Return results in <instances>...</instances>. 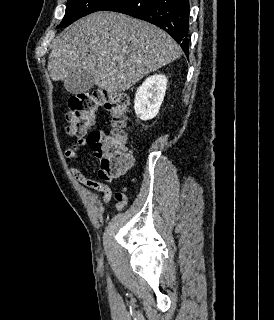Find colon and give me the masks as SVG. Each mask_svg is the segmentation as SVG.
<instances>
[{"instance_id":"colon-1","label":"colon","mask_w":274,"mask_h":320,"mask_svg":"<svg viewBox=\"0 0 274 320\" xmlns=\"http://www.w3.org/2000/svg\"><path fill=\"white\" fill-rule=\"evenodd\" d=\"M126 104L124 95L112 97L101 89L78 93L67 100V134H85L86 138H91L92 149L101 156V170L113 178L125 173L133 163V156L124 152L128 141L123 129L127 120ZM99 109L109 114L112 124L109 132L91 131L90 121L96 120ZM115 196H127L125 188L118 190Z\"/></svg>"}]
</instances>
